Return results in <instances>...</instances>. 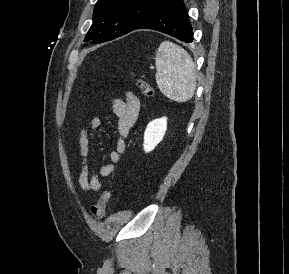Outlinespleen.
<instances>
[{
	"label": "spleen",
	"mask_w": 289,
	"mask_h": 274,
	"mask_svg": "<svg viewBox=\"0 0 289 274\" xmlns=\"http://www.w3.org/2000/svg\"><path fill=\"white\" fill-rule=\"evenodd\" d=\"M156 82L160 91L177 102L190 100L196 90V69L191 56L180 46L163 41L156 51Z\"/></svg>",
	"instance_id": "1"
}]
</instances>
